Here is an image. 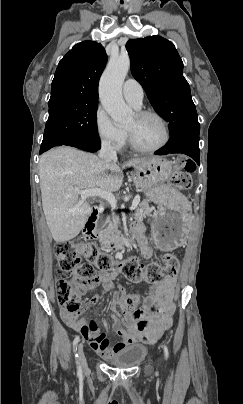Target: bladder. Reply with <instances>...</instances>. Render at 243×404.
<instances>
[{
    "instance_id": "obj_1",
    "label": "bladder",
    "mask_w": 243,
    "mask_h": 404,
    "mask_svg": "<svg viewBox=\"0 0 243 404\" xmlns=\"http://www.w3.org/2000/svg\"><path fill=\"white\" fill-rule=\"evenodd\" d=\"M147 352V348L143 344H130L116 351L109 359V363L117 368H132L145 359Z\"/></svg>"
}]
</instances>
